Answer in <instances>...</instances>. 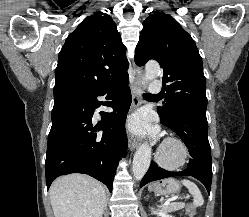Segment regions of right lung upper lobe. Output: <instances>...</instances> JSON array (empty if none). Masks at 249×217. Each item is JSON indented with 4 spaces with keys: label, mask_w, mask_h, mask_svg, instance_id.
Here are the masks:
<instances>
[{
    "label": "right lung upper lobe",
    "mask_w": 249,
    "mask_h": 217,
    "mask_svg": "<svg viewBox=\"0 0 249 217\" xmlns=\"http://www.w3.org/2000/svg\"><path fill=\"white\" fill-rule=\"evenodd\" d=\"M126 47L117 26L103 12L86 17L62 47L55 89H97L128 77Z\"/></svg>",
    "instance_id": "obj_1"
}]
</instances>
